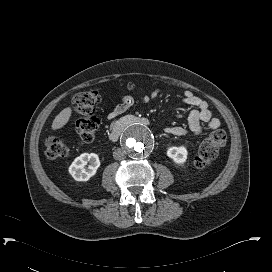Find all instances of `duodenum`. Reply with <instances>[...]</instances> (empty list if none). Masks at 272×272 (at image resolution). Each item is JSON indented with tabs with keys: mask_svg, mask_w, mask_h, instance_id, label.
Listing matches in <instances>:
<instances>
[{
	"mask_svg": "<svg viewBox=\"0 0 272 272\" xmlns=\"http://www.w3.org/2000/svg\"><path fill=\"white\" fill-rule=\"evenodd\" d=\"M133 120V118H128L126 120H119L115 122L111 128V130L108 133L109 139L111 141H117L119 137L121 136L125 126L130 123Z\"/></svg>",
	"mask_w": 272,
	"mask_h": 272,
	"instance_id": "obj_1",
	"label": "duodenum"
}]
</instances>
